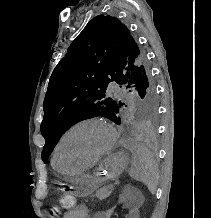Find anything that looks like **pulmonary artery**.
I'll list each match as a JSON object with an SVG mask.
<instances>
[{
  "instance_id": "e3ab8cb5",
  "label": "pulmonary artery",
  "mask_w": 211,
  "mask_h": 218,
  "mask_svg": "<svg viewBox=\"0 0 211 218\" xmlns=\"http://www.w3.org/2000/svg\"><path fill=\"white\" fill-rule=\"evenodd\" d=\"M108 95H121V86L119 84H106Z\"/></svg>"
}]
</instances>
